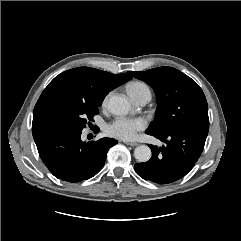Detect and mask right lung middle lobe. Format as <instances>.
<instances>
[{
	"label": "right lung middle lobe",
	"mask_w": 241,
	"mask_h": 241,
	"mask_svg": "<svg viewBox=\"0 0 241 241\" xmlns=\"http://www.w3.org/2000/svg\"><path fill=\"white\" fill-rule=\"evenodd\" d=\"M101 104L102 101H87L62 93L50 94L35 105L32 131L63 126L83 129L88 121H93Z\"/></svg>",
	"instance_id": "1"
}]
</instances>
